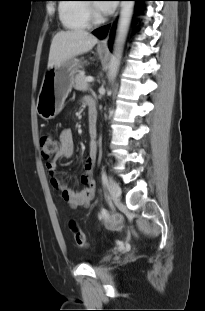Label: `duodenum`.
<instances>
[{"label": "duodenum", "instance_id": "obj_1", "mask_svg": "<svg viewBox=\"0 0 205 311\" xmlns=\"http://www.w3.org/2000/svg\"><path fill=\"white\" fill-rule=\"evenodd\" d=\"M94 103V102H93ZM93 109H95V104H93Z\"/></svg>", "mask_w": 205, "mask_h": 311}]
</instances>
